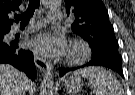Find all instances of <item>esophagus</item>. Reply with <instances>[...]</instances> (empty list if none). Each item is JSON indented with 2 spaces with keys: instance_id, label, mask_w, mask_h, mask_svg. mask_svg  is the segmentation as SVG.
Here are the masks:
<instances>
[{
  "instance_id": "34e87169",
  "label": "esophagus",
  "mask_w": 135,
  "mask_h": 95,
  "mask_svg": "<svg viewBox=\"0 0 135 95\" xmlns=\"http://www.w3.org/2000/svg\"><path fill=\"white\" fill-rule=\"evenodd\" d=\"M34 62L35 65L43 72L45 71H51L52 65L46 61L43 57L34 54Z\"/></svg>"
}]
</instances>
